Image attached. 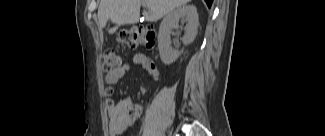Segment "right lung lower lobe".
I'll use <instances>...</instances> for the list:
<instances>
[{"instance_id": "right-lung-lower-lobe-1", "label": "right lung lower lobe", "mask_w": 325, "mask_h": 136, "mask_svg": "<svg viewBox=\"0 0 325 136\" xmlns=\"http://www.w3.org/2000/svg\"><path fill=\"white\" fill-rule=\"evenodd\" d=\"M205 2L207 3L208 7L210 8L211 5H212L213 0H205Z\"/></svg>"}]
</instances>
